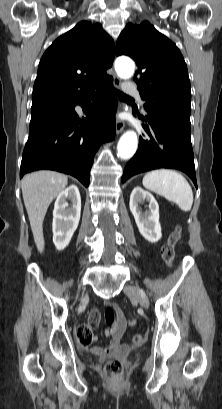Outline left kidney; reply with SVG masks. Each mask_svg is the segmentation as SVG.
I'll return each instance as SVG.
<instances>
[{
  "label": "left kidney",
  "mask_w": 222,
  "mask_h": 409,
  "mask_svg": "<svg viewBox=\"0 0 222 409\" xmlns=\"http://www.w3.org/2000/svg\"><path fill=\"white\" fill-rule=\"evenodd\" d=\"M144 200L149 202V210L142 213L139 205ZM129 207L141 235L151 243L159 241L162 237L159 206L153 195L137 186L131 193Z\"/></svg>",
  "instance_id": "obj_1"
}]
</instances>
